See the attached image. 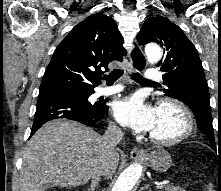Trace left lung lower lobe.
Here are the masks:
<instances>
[{
	"mask_svg": "<svg viewBox=\"0 0 221 191\" xmlns=\"http://www.w3.org/2000/svg\"><path fill=\"white\" fill-rule=\"evenodd\" d=\"M206 86H199L193 89L194 93L192 95V103L196 107V111L201 117H210V105H209V94L205 92Z\"/></svg>",
	"mask_w": 221,
	"mask_h": 191,
	"instance_id": "0a47b994",
	"label": "left lung lower lobe"
}]
</instances>
